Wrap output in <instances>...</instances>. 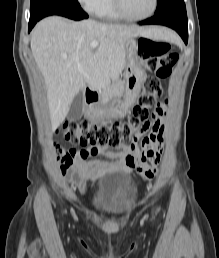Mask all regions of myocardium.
<instances>
[{
    "label": "myocardium",
    "instance_id": "f54148a6",
    "mask_svg": "<svg viewBox=\"0 0 219 258\" xmlns=\"http://www.w3.org/2000/svg\"><path fill=\"white\" fill-rule=\"evenodd\" d=\"M113 4H114V8H115L117 14L121 18L130 20V21H142V20H146V19L150 18L151 16H153L155 14V12L158 9L159 0H154L152 10L149 13L142 15V16H132V15L128 14L123 6L122 0H113Z\"/></svg>",
    "mask_w": 219,
    "mask_h": 258
}]
</instances>
